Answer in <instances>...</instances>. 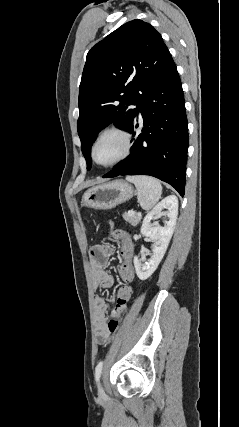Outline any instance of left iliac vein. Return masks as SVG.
Listing matches in <instances>:
<instances>
[{"instance_id": "4c4485c4", "label": "left iliac vein", "mask_w": 239, "mask_h": 427, "mask_svg": "<svg viewBox=\"0 0 239 427\" xmlns=\"http://www.w3.org/2000/svg\"><path fill=\"white\" fill-rule=\"evenodd\" d=\"M98 393H99L100 397L104 396V389H103L101 383H98Z\"/></svg>"}]
</instances>
